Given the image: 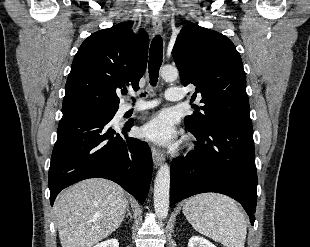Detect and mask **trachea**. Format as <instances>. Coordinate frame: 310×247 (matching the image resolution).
I'll list each match as a JSON object with an SVG mask.
<instances>
[{
	"instance_id": "1",
	"label": "trachea",
	"mask_w": 310,
	"mask_h": 247,
	"mask_svg": "<svg viewBox=\"0 0 310 247\" xmlns=\"http://www.w3.org/2000/svg\"><path fill=\"white\" fill-rule=\"evenodd\" d=\"M163 58V41L160 35L154 37L149 51V78L150 84L155 86L158 81L159 69ZM124 95L127 93L124 92ZM144 96V94H142ZM134 100V99H133Z\"/></svg>"
}]
</instances>
